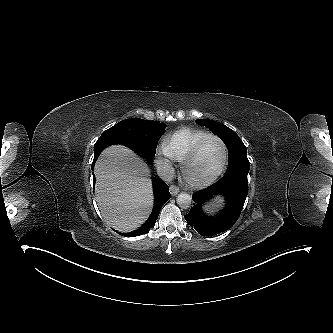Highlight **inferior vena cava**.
<instances>
[{"mask_svg": "<svg viewBox=\"0 0 333 333\" xmlns=\"http://www.w3.org/2000/svg\"><path fill=\"white\" fill-rule=\"evenodd\" d=\"M157 174L163 181H172L175 172L171 162L167 159L160 161L157 167Z\"/></svg>", "mask_w": 333, "mask_h": 333, "instance_id": "1", "label": "inferior vena cava"}]
</instances>
